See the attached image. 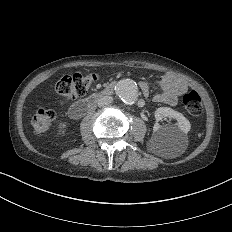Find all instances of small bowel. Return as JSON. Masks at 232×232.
<instances>
[{"mask_svg":"<svg viewBox=\"0 0 232 232\" xmlns=\"http://www.w3.org/2000/svg\"><path fill=\"white\" fill-rule=\"evenodd\" d=\"M159 86L162 89L160 94L155 96L158 102L176 103L181 94L187 89V83L174 75H165L159 81ZM143 95H148L150 92V84L147 81H142L139 85Z\"/></svg>","mask_w":232,"mask_h":232,"instance_id":"small-bowel-1","label":"small bowel"}]
</instances>
